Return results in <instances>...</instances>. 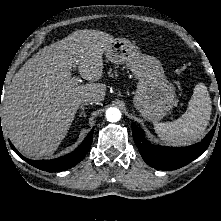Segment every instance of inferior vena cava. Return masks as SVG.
Wrapping results in <instances>:
<instances>
[{
  "label": "inferior vena cava",
  "mask_w": 221,
  "mask_h": 221,
  "mask_svg": "<svg viewBox=\"0 0 221 221\" xmlns=\"http://www.w3.org/2000/svg\"><path fill=\"white\" fill-rule=\"evenodd\" d=\"M82 103L88 104V103H97L95 99H85Z\"/></svg>",
  "instance_id": "inferior-vena-cava-1"
}]
</instances>
